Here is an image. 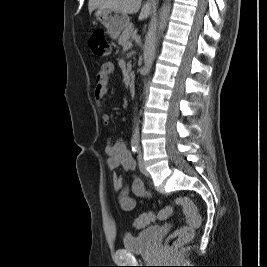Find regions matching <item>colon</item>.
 I'll return each mask as SVG.
<instances>
[{"label": "colon", "mask_w": 267, "mask_h": 267, "mask_svg": "<svg viewBox=\"0 0 267 267\" xmlns=\"http://www.w3.org/2000/svg\"><path fill=\"white\" fill-rule=\"evenodd\" d=\"M89 47L92 52L99 57L110 54V44L100 31L94 32L89 38ZM174 207H181L186 218L183 226L172 232L166 239L165 244L168 248L176 247L192 239L194 231L201 224V216L195 203L187 196H180L174 199L172 204L166 206L158 212H146L139 215L134 220L136 228H143L156 220H164L171 216Z\"/></svg>", "instance_id": "1"}]
</instances>
